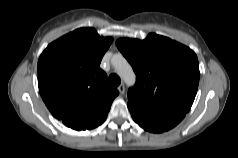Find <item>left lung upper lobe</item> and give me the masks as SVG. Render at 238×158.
Listing matches in <instances>:
<instances>
[{"instance_id": "5c2ea615", "label": "left lung upper lobe", "mask_w": 238, "mask_h": 158, "mask_svg": "<svg viewBox=\"0 0 238 158\" xmlns=\"http://www.w3.org/2000/svg\"><path fill=\"white\" fill-rule=\"evenodd\" d=\"M116 45L136 73L128 103L149 113L190 110L200 74L190 48L154 33L142 41L121 38Z\"/></svg>"}]
</instances>
